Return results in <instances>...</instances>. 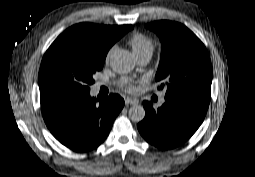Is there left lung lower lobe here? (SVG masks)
I'll list each match as a JSON object with an SVG mask.
<instances>
[{"instance_id": "1", "label": "left lung lower lobe", "mask_w": 255, "mask_h": 177, "mask_svg": "<svg viewBox=\"0 0 255 177\" xmlns=\"http://www.w3.org/2000/svg\"><path fill=\"white\" fill-rule=\"evenodd\" d=\"M210 95L165 96V103L154 109L144 101L145 118L138 124L143 138L160 149H172L187 141L204 120Z\"/></svg>"}]
</instances>
